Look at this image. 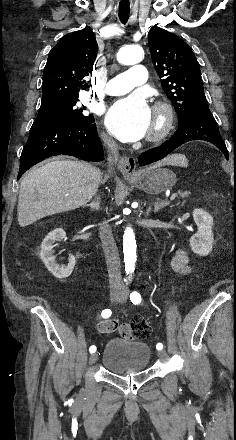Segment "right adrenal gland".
Wrapping results in <instances>:
<instances>
[{
	"label": "right adrenal gland",
	"mask_w": 236,
	"mask_h": 440,
	"mask_svg": "<svg viewBox=\"0 0 236 440\" xmlns=\"http://www.w3.org/2000/svg\"><path fill=\"white\" fill-rule=\"evenodd\" d=\"M84 207H90L92 211H98L100 208V197H96L93 202L85 205Z\"/></svg>",
	"instance_id": "right-adrenal-gland-1"
}]
</instances>
